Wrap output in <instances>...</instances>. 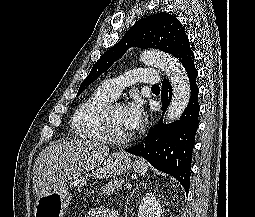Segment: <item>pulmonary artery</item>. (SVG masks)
Here are the masks:
<instances>
[{"instance_id":"pulmonary-artery-1","label":"pulmonary artery","mask_w":255,"mask_h":217,"mask_svg":"<svg viewBox=\"0 0 255 217\" xmlns=\"http://www.w3.org/2000/svg\"><path fill=\"white\" fill-rule=\"evenodd\" d=\"M134 82L157 85L159 77L157 73L151 69L139 68L111 79H107L103 82V87L110 95L116 98L126 86Z\"/></svg>"}]
</instances>
